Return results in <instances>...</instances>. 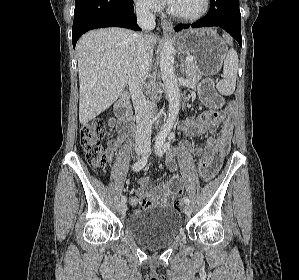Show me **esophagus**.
I'll return each mask as SVG.
<instances>
[{"instance_id":"34e87169","label":"esophagus","mask_w":299,"mask_h":280,"mask_svg":"<svg viewBox=\"0 0 299 280\" xmlns=\"http://www.w3.org/2000/svg\"><path fill=\"white\" fill-rule=\"evenodd\" d=\"M161 26L164 32H172L173 30V25L170 21L168 20H161Z\"/></svg>"}]
</instances>
